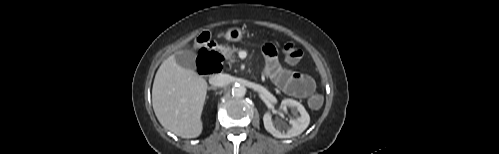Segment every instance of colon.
I'll return each mask as SVG.
<instances>
[{"label":"colon","instance_id":"obj_1","mask_svg":"<svg viewBox=\"0 0 499 154\" xmlns=\"http://www.w3.org/2000/svg\"><path fill=\"white\" fill-rule=\"evenodd\" d=\"M196 41L199 44H206L210 41V35L208 32H202L197 36ZM212 58V65L215 72L220 71L222 68L223 57L217 52H210ZM282 54L285 60L289 63L295 64L302 58L301 49L293 43H286L282 48ZM308 103L312 108H319L323 103V98L318 93H313L309 99Z\"/></svg>","mask_w":499,"mask_h":154}]
</instances>
